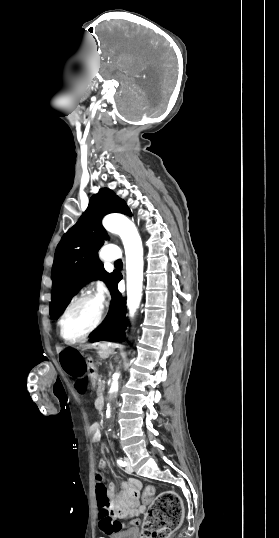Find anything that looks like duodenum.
Segmentation results:
<instances>
[{"label": "duodenum", "instance_id": "410a0bca", "mask_svg": "<svg viewBox=\"0 0 279 538\" xmlns=\"http://www.w3.org/2000/svg\"><path fill=\"white\" fill-rule=\"evenodd\" d=\"M89 369H90V372H91V385L93 387H96L98 385V373H97V370H98V365H95V364H91L89 366ZM97 400L98 401H95V406H96V410H98V414H103V410H104V405H102V402L105 400V397L103 395H99L97 397Z\"/></svg>", "mask_w": 279, "mask_h": 538}]
</instances>
